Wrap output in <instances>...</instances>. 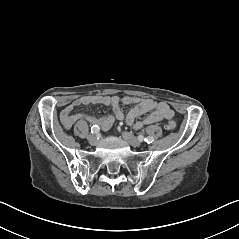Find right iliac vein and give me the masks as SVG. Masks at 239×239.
<instances>
[{
  "label": "right iliac vein",
  "instance_id": "obj_1",
  "mask_svg": "<svg viewBox=\"0 0 239 239\" xmlns=\"http://www.w3.org/2000/svg\"><path fill=\"white\" fill-rule=\"evenodd\" d=\"M88 142L91 145H96L98 143V138H96L94 135H89L88 136Z\"/></svg>",
  "mask_w": 239,
  "mask_h": 239
}]
</instances>
